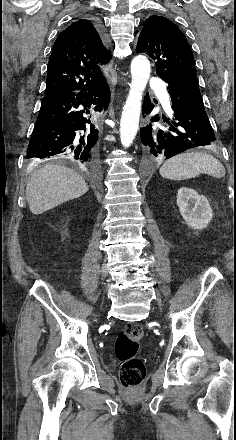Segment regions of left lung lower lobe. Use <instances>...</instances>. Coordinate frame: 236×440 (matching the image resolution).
<instances>
[{"label":"left lung lower lobe","mask_w":236,"mask_h":440,"mask_svg":"<svg viewBox=\"0 0 236 440\" xmlns=\"http://www.w3.org/2000/svg\"><path fill=\"white\" fill-rule=\"evenodd\" d=\"M174 114L164 119L166 125L154 128L148 124L140 129L141 141L148 156H165L167 159L187 149L210 145L215 135L207 117L197 80H182L169 87ZM154 108L145 96L143 114ZM145 117V115H144ZM156 122L159 115L151 119Z\"/></svg>","instance_id":"0a47b994"}]
</instances>
